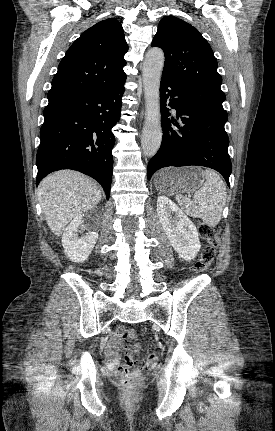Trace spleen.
I'll use <instances>...</instances> for the list:
<instances>
[{
  "label": "spleen",
  "instance_id": "spleen-1",
  "mask_svg": "<svg viewBox=\"0 0 275 431\" xmlns=\"http://www.w3.org/2000/svg\"><path fill=\"white\" fill-rule=\"evenodd\" d=\"M205 183L195 191L193 199L180 194L176 201L183 211L191 217H199L208 226H216L222 216L226 201V187L222 178L213 170L202 171Z\"/></svg>",
  "mask_w": 275,
  "mask_h": 431
}]
</instances>
